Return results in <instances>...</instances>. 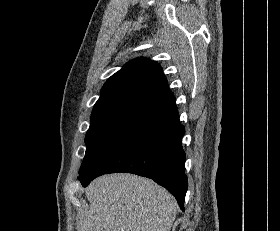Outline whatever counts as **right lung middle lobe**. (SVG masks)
I'll return each mask as SVG.
<instances>
[{"instance_id": "obj_1", "label": "right lung middle lobe", "mask_w": 280, "mask_h": 231, "mask_svg": "<svg viewBox=\"0 0 280 231\" xmlns=\"http://www.w3.org/2000/svg\"><path fill=\"white\" fill-rule=\"evenodd\" d=\"M133 125H135L134 122L124 119H91L85 137L86 153L79 174L99 151Z\"/></svg>"}]
</instances>
